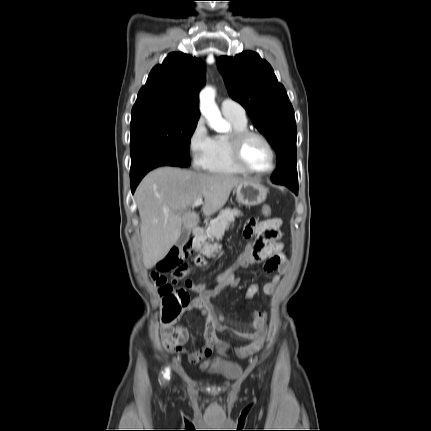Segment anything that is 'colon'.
<instances>
[{"instance_id":"5ec220e1","label":"colon","mask_w":431,"mask_h":431,"mask_svg":"<svg viewBox=\"0 0 431 431\" xmlns=\"http://www.w3.org/2000/svg\"><path fill=\"white\" fill-rule=\"evenodd\" d=\"M263 213L266 216L271 214V207L269 205H265L263 207ZM189 255V249L187 247L184 248H172L168 254L158 263V270L160 272H170L174 276V280H168L166 277L160 274H153V278L155 280L156 286L158 288V292L162 297L163 309H164V317L168 321H172L175 317L182 311L183 313H189L195 307L197 309L207 308L209 305L214 302L215 292L219 290V292H224L223 285L217 283V287H212V291H210L209 297L207 296H198L197 301L190 302L189 295L187 291L182 288L176 286L177 278L184 276L188 271V265L186 264V258ZM252 242L245 241L244 249L238 253V256L235 257V260L230 263L231 268V276H234V272H239L244 267V261L248 258L252 257ZM223 271V269H222ZM215 276V275H214ZM225 279V284L229 283V279ZM214 280L215 277H213ZM219 288V289H217Z\"/></svg>"}]
</instances>
